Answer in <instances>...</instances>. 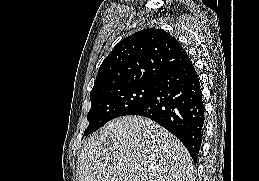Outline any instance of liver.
<instances>
[{
  "label": "liver",
  "instance_id": "1",
  "mask_svg": "<svg viewBox=\"0 0 259 181\" xmlns=\"http://www.w3.org/2000/svg\"><path fill=\"white\" fill-rule=\"evenodd\" d=\"M79 163V181H194L184 145L141 116L108 122L83 146Z\"/></svg>",
  "mask_w": 259,
  "mask_h": 181
}]
</instances>
